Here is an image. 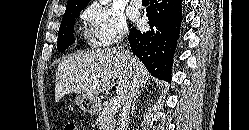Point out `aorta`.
<instances>
[{
  "mask_svg": "<svg viewBox=\"0 0 249 130\" xmlns=\"http://www.w3.org/2000/svg\"><path fill=\"white\" fill-rule=\"evenodd\" d=\"M109 0H100V3L103 4V5H106L108 4Z\"/></svg>",
  "mask_w": 249,
  "mask_h": 130,
  "instance_id": "obj_1",
  "label": "aorta"
}]
</instances>
